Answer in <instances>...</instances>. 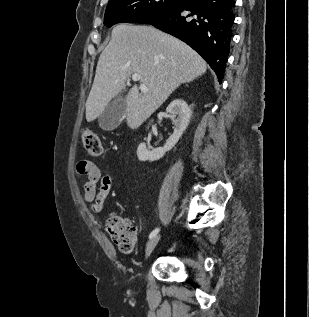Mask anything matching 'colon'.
<instances>
[{"label":"colon","instance_id":"1","mask_svg":"<svg viewBox=\"0 0 309 317\" xmlns=\"http://www.w3.org/2000/svg\"><path fill=\"white\" fill-rule=\"evenodd\" d=\"M82 144L84 149L92 156H98L102 152V144L98 135L92 130L85 129L82 132ZM106 230L112 242L123 252H130L135 246L136 232L133 223L129 219L117 215L109 217Z\"/></svg>","mask_w":309,"mask_h":317}]
</instances>
